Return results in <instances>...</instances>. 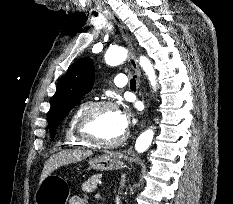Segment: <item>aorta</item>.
<instances>
[{
  "instance_id": "1",
  "label": "aorta",
  "mask_w": 233,
  "mask_h": 204,
  "mask_svg": "<svg viewBox=\"0 0 233 204\" xmlns=\"http://www.w3.org/2000/svg\"><path fill=\"white\" fill-rule=\"evenodd\" d=\"M127 56H128V50L125 49L124 47H113L108 49V51L106 52L105 61L110 66H116L121 64L123 61H125ZM139 64L145 71L146 75L148 76L150 84L155 89L156 75L151 61L147 57L141 56L139 59ZM153 137H154V131L152 128H149L143 133H141L136 140L135 150L138 153H143L144 151H146L151 145Z\"/></svg>"
}]
</instances>
